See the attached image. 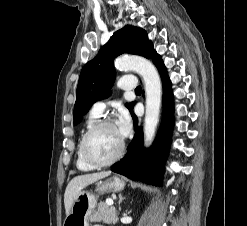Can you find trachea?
Returning <instances> with one entry per match:
<instances>
[{"label":"trachea","mask_w":247,"mask_h":226,"mask_svg":"<svg viewBox=\"0 0 247 226\" xmlns=\"http://www.w3.org/2000/svg\"><path fill=\"white\" fill-rule=\"evenodd\" d=\"M140 91H141V86H137L135 92H140Z\"/></svg>","instance_id":"trachea-1"}]
</instances>
